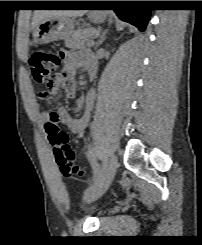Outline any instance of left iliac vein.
<instances>
[{"label": "left iliac vein", "instance_id": "4c4485c4", "mask_svg": "<svg viewBox=\"0 0 202 245\" xmlns=\"http://www.w3.org/2000/svg\"><path fill=\"white\" fill-rule=\"evenodd\" d=\"M117 169V157L112 154L103 162L102 172L95 181L93 191L87 196L89 201L100 198L109 188Z\"/></svg>", "mask_w": 202, "mask_h": 245}]
</instances>
